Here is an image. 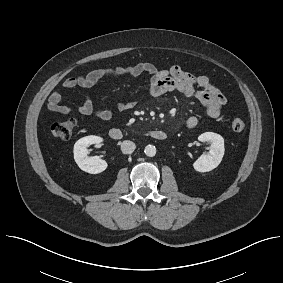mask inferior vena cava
Here are the masks:
<instances>
[{
  "label": "inferior vena cava",
  "mask_w": 283,
  "mask_h": 283,
  "mask_svg": "<svg viewBox=\"0 0 283 283\" xmlns=\"http://www.w3.org/2000/svg\"><path fill=\"white\" fill-rule=\"evenodd\" d=\"M136 145L134 142L129 141V140H125L121 143V151L124 154H131L133 153V151L135 150Z\"/></svg>",
  "instance_id": "obj_1"
}]
</instances>
